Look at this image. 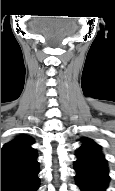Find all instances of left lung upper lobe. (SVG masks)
<instances>
[{"mask_svg": "<svg viewBox=\"0 0 115 191\" xmlns=\"http://www.w3.org/2000/svg\"><path fill=\"white\" fill-rule=\"evenodd\" d=\"M77 161H94L107 165L101 147L89 138L82 139V145L76 152Z\"/></svg>", "mask_w": 115, "mask_h": 191, "instance_id": "5c2ea615", "label": "left lung upper lobe"}]
</instances>
